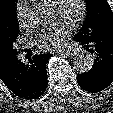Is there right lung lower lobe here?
<instances>
[{
    "instance_id": "1",
    "label": "right lung lower lobe",
    "mask_w": 113,
    "mask_h": 113,
    "mask_svg": "<svg viewBox=\"0 0 113 113\" xmlns=\"http://www.w3.org/2000/svg\"><path fill=\"white\" fill-rule=\"evenodd\" d=\"M50 57L51 54H35L27 63L13 58L2 78L4 84L22 99L32 100L40 97L48 85L46 64Z\"/></svg>"
}]
</instances>
